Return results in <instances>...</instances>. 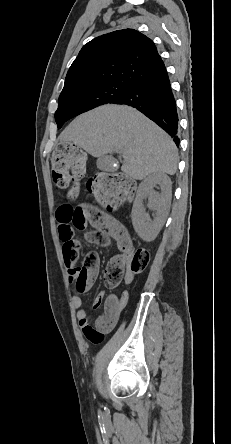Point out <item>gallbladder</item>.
<instances>
[{"label":"gallbladder","instance_id":"1","mask_svg":"<svg viewBox=\"0 0 231 444\" xmlns=\"http://www.w3.org/2000/svg\"><path fill=\"white\" fill-rule=\"evenodd\" d=\"M106 158H107L106 156H103V157H101V158L98 160L97 165H98L99 169H104L103 161H104V159H106Z\"/></svg>","mask_w":231,"mask_h":444}]
</instances>
